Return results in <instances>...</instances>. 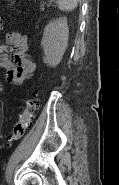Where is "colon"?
Returning <instances> with one entry per match:
<instances>
[{"label":"colon","mask_w":119,"mask_h":185,"mask_svg":"<svg viewBox=\"0 0 119 185\" xmlns=\"http://www.w3.org/2000/svg\"><path fill=\"white\" fill-rule=\"evenodd\" d=\"M38 106V94L33 92V94L25 101L21 113L18 119L13 124L10 134L8 135V143L12 144L20 140L25 134L26 130L29 128L31 121L33 119V112Z\"/></svg>","instance_id":"5ec220e1"}]
</instances>
